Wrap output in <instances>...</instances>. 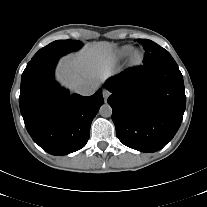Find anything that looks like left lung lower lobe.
I'll return each mask as SVG.
<instances>
[{
  "mask_svg": "<svg viewBox=\"0 0 207 207\" xmlns=\"http://www.w3.org/2000/svg\"><path fill=\"white\" fill-rule=\"evenodd\" d=\"M108 103L119 140L132 149L156 152L178 131L186 106L182 74L174 59L128 69L111 77Z\"/></svg>",
  "mask_w": 207,
  "mask_h": 207,
  "instance_id": "left-lung-lower-lobe-1",
  "label": "left lung lower lobe"
}]
</instances>
